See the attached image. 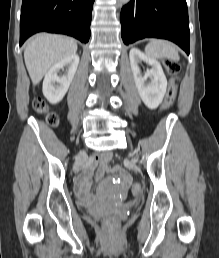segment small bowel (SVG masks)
Instances as JSON below:
<instances>
[{
	"label": "small bowel",
	"instance_id": "1",
	"mask_svg": "<svg viewBox=\"0 0 219 258\" xmlns=\"http://www.w3.org/2000/svg\"><path fill=\"white\" fill-rule=\"evenodd\" d=\"M110 154L109 153H105L101 156H97L95 158H93V165H97L98 166V172H97V177L99 179H103L106 171H107V161L108 159H110ZM124 167H115L114 171L115 172H119V176L122 177L121 183L122 184H130L131 180L129 179V175H128V171H124ZM90 182H91V172L87 171L85 172L77 185L78 188V192L81 195L82 198L84 199H89L90 198V193H89V186H90Z\"/></svg>",
	"mask_w": 219,
	"mask_h": 258
}]
</instances>
